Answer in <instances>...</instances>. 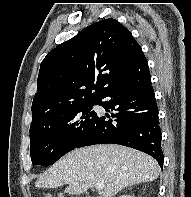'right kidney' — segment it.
I'll return each instance as SVG.
<instances>
[{
	"mask_svg": "<svg viewBox=\"0 0 191 197\" xmlns=\"http://www.w3.org/2000/svg\"><path fill=\"white\" fill-rule=\"evenodd\" d=\"M120 197H134V196H131V195H122Z\"/></svg>",
	"mask_w": 191,
	"mask_h": 197,
	"instance_id": "ca27d5eb",
	"label": "right kidney"
}]
</instances>
